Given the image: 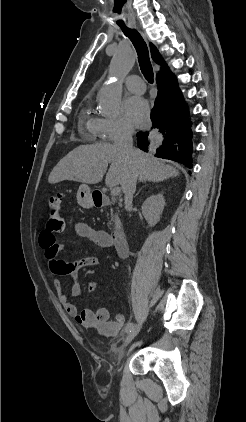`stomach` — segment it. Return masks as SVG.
<instances>
[{"label":"stomach","instance_id":"stomach-1","mask_svg":"<svg viewBox=\"0 0 246 422\" xmlns=\"http://www.w3.org/2000/svg\"><path fill=\"white\" fill-rule=\"evenodd\" d=\"M77 201L80 206L83 208H91L94 205V200L92 196V191L90 187L86 184H82L78 188L77 192Z\"/></svg>","mask_w":246,"mask_h":422}]
</instances>
